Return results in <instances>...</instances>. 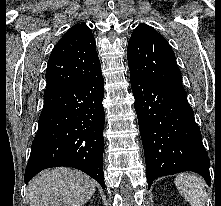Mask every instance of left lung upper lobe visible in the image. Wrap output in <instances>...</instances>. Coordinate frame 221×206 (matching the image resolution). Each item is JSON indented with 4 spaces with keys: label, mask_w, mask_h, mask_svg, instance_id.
<instances>
[{
    "label": "left lung upper lobe",
    "mask_w": 221,
    "mask_h": 206,
    "mask_svg": "<svg viewBox=\"0 0 221 206\" xmlns=\"http://www.w3.org/2000/svg\"><path fill=\"white\" fill-rule=\"evenodd\" d=\"M130 75L185 91L175 54L156 30L144 23L133 31L127 48Z\"/></svg>",
    "instance_id": "1"
}]
</instances>
